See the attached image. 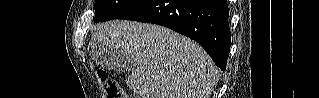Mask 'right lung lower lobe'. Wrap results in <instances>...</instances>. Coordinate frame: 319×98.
<instances>
[{"instance_id": "obj_1", "label": "right lung lower lobe", "mask_w": 319, "mask_h": 98, "mask_svg": "<svg viewBox=\"0 0 319 98\" xmlns=\"http://www.w3.org/2000/svg\"><path fill=\"white\" fill-rule=\"evenodd\" d=\"M117 19L168 27L197 41L226 69L231 44L227 0H146Z\"/></svg>"}]
</instances>
